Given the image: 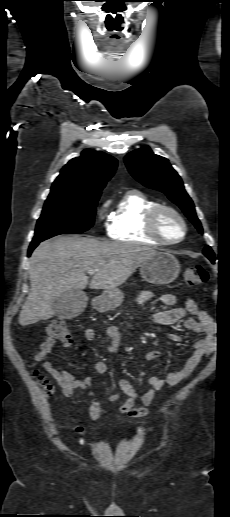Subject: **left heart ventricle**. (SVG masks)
Wrapping results in <instances>:
<instances>
[{"label": "left heart ventricle", "instance_id": "1", "mask_svg": "<svg viewBox=\"0 0 230 517\" xmlns=\"http://www.w3.org/2000/svg\"><path fill=\"white\" fill-rule=\"evenodd\" d=\"M162 234L169 240L178 238L182 233V226L172 214H164L160 222Z\"/></svg>", "mask_w": 230, "mask_h": 517}]
</instances>
